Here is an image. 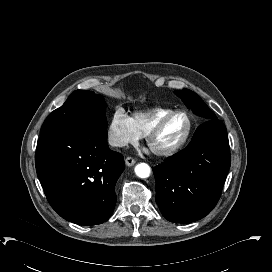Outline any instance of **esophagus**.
<instances>
[{
	"label": "esophagus",
	"mask_w": 272,
	"mask_h": 272,
	"mask_svg": "<svg viewBox=\"0 0 272 272\" xmlns=\"http://www.w3.org/2000/svg\"><path fill=\"white\" fill-rule=\"evenodd\" d=\"M125 164L129 167L133 166L135 164V159H133L132 157H127L125 159Z\"/></svg>",
	"instance_id": "1"
}]
</instances>
